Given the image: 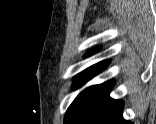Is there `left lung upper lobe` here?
Masks as SVG:
<instances>
[{"mask_svg": "<svg viewBox=\"0 0 156 124\" xmlns=\"http://www.w3.org/2000/svg\"><path fill=\"white\" fill-rule=\"evenodd\" d=\"M98 49L99 48H95L90 53L95 52ZM108 64L109 61H102L78 74L74 77L73 88L82 86L88 80L104 70ZM105 85L106 83L92 86L82 91L68 108L64 118V124H79Z\"/></svg>", "mask_w": 156, "mask_h": 124, "instance_id": "5c2ea615", "label": "left lung upper lobe"}]
</instances>
